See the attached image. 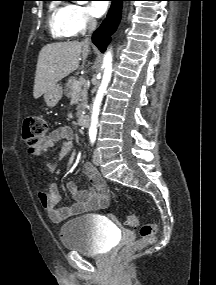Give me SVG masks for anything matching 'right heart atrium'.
Segmentation results:
<instances>
[{
    "mask_svg": "<svg viewBox=\"0 0 216 285\" xmlns=\"http://www.w3.org/2000/svg\"><path fill=\"white\" fill-rule=\"evenodd\" d=\"M69 20L75 34L82 33L95 24L89 8L77 3L69 5Z\"/></svg>",
    "mask_w": 216,
    "mask_h": 285,
    "instance_id": "obj_1",
    "label": "right heart atrium"
}]
</instances>
